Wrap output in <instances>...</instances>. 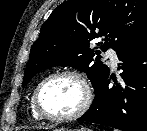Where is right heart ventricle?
Listing matches in <instances>:
<instances>
[{"label":"right heart ventricle","mask_w":147,"mask_h":131,"mask_svg":"<svg viewBox=\"0 0 147 131\" xmlns=\"http://www.w3.org/2000/svg\"><path fill=\"white\" fill-rule=\"evenodd\" d=\"M30 110H31V115H32V117H33L34 120L39 121V120L42 119L38 115V113L36 112V110L34 108V105H33V94H32L31 99H30Z\"/></svg>","instance_id":"e07e8e85"}]
</instances>
